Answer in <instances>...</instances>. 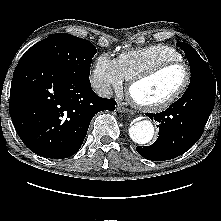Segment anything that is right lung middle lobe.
<instances>
[{"label": "right lung middle lobe", "instance_id": "1", "mask_svg": "<svg viewBox=\"0 0 221 221\" xmlns=\"http://www.w3.org/2000/svg\"><path fill=\"white\" fill-rule=\"evenodd\" d=\"M30 53L51 60L74 73L89 77L96 47L88 40L66 33H56L33 45L26 52Z\"/></svg>", "mask_w": 221, "mask_h": 221}]
</instances>
